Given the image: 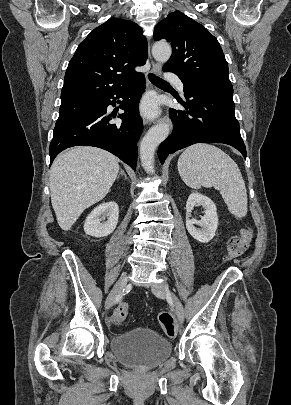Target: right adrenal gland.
I'll return each instance as SVG.
<instances>
[{
    "label": "right adrenal gland",
    "mask_w": 291,
    "mask_h": 405,
    "mask_svg": "<svg viewBox=\"0 0 291 405\" xmlns=\"http://www.w3.org/2000/svg\"><path fill=\"white\" fill-rule=\"evenodd\" d=\"M120 175H123L124 178L127 179V176H126V174H125V172H124V170L122 168L120 169V172H119V175H118L117 178H119Z\"/></svg>",
    "instance_id": "2a0ac1e0"
}]
</instances>
